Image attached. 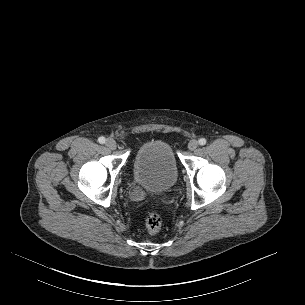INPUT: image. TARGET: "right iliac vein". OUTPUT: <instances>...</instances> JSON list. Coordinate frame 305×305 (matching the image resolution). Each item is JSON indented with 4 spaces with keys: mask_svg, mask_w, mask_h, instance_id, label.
<instances>
[{
    "mask_svg": "<svg viewBox=\"0 0 305 305\" xmlns=\"http://www.w3.org/2000/svg\"><path fill=\"white\" fill-rule=\"evenodd\" d=\"M105 145L111 150H114L117 147L115 140H113L111 138L106 140Z\"/></svg>",
    "mask_w": 305,
    "mask_h": 305,
    "instance_id": "1",
    "label": "right iliac vein"
}]
</instances>
